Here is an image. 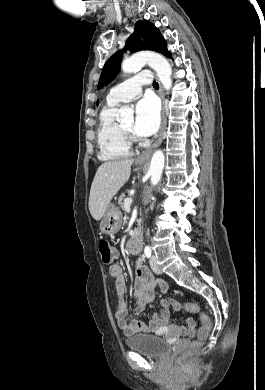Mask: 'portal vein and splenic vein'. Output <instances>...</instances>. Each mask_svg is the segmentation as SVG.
I'll return each instance as SVG.
<instances>
[{"instance_id": "portal-vein-and-splenic-vein-1", "label": "portal vein and splenic vein", "mask_w": 265, "mask_h": 390, "mask_svg": "<svg viewBox=\"0 0 265 390\" xmlns=\"http://www.w3.org/2000/svg\"><path fill=\"white\" fill-rule=\"evenodd\" d=\"M131 203H132V199L131 198H126L125 201H124V206L130 207Z\"/></svg>"}]
</instances>
